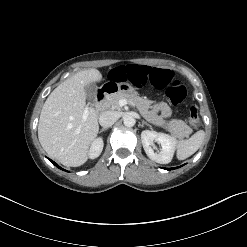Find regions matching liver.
Segmentation results:
<instances>
[{"mask_svg": "<svg viewBox=\"0 0 247 247\" xmlns=\"http://www.w3.org/2000/svg\"><path fill=\"white\" fill-rule=\"evenodd\" d=\"M101 80L97 69L80 71L56 87L42 107L38 124L40 144L65 166L78 167L88 159L99 125L96 110L86 107V88ZM85 109L89 113L83 120Z\"/></svg>", "mask_w": 247, "mask_h": 247, "instance_id": "obj_1", "label": "liver"}]
</instances>
